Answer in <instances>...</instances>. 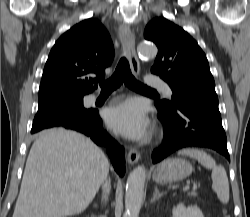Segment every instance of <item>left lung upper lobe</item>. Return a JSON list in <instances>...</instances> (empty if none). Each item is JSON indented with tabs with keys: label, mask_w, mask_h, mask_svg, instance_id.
<instances>
[{
	"label": "left lung upper lobe",
	"mask_w": 250,
	"mask_h": 217,
	"mask_svg": "<svg viewBox=\"0 0 250 217\" xmlns=\"http://www.w3.org/2000/svg\"><path fill=\"white\" fill-rule=\"evenodd\" d=\"M144 37L158 47L151 72L166 81L173 91L171 101L156 102L158 105L174 110L189 98L217 97L205 53L181 27L158 17L148 23Z\"/></svg>",
	"instance_id": "5c2ea615"
}]
</instances>
